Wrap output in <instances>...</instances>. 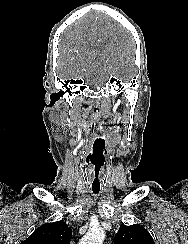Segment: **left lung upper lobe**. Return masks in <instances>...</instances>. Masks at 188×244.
Masks as SVG:
<instances>
[{"label": "left lung upper lobe", "mask_w": 188, "mask_h": 244, "mask_svg": "<svg viewBox=\"0 0 188 244\" xmlns=\"http://www.w3.org/2000/svg\"><path fill=\"white\" fill-rule=\"evenodd\" d=\"M115 244H155L149 232L140 225L121 224L115 235Z\"/></svg>", "instance_id": "5c2ea615"}]
</instances>
